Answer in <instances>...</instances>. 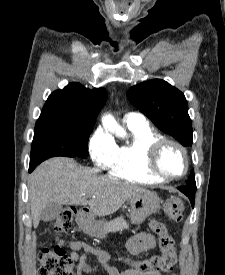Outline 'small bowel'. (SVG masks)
Instances as JSON below:
<instances>
[{
    "label": "small bowel",
    "mask_w": 225,
    "mask_h": 275,
    "mask_svg": "<svg viewBox=\"0 0 225 275\" xmlns=\"http://www.w3.org/2000/svg\"><path fill=\"white\" fill-rule=\"evenodd\" d=\"M70 258L77 263L76 271L77 275H83L86 272L91 271L90 259L97 260L99 265L103 268L107 275H162L156 271L142 272L136 269L126 270L122 273H118L116 269L108 264V255L100 251L91 245L82 241H71ZM156 247V240L154 236L147 232H141L135 235L127 244V248L131 254L139 255L146 251L152 250ZM80 251H83L80 253ZM167 275H177L175 272H169Z\"/></svg>",
    "instance_id": "1"
}]
</instances>
